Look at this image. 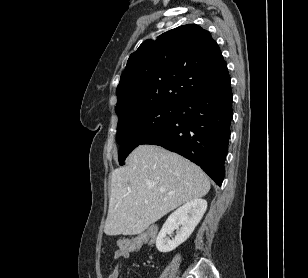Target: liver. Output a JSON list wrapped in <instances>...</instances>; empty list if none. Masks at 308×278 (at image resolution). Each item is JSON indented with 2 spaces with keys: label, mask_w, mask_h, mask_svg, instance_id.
<instances>
[{
  "label": "liver",
  "mask_w": 308,
  "mask_h": 278,
  "mask_svg": "<svg viewBox=\"0 0 308 278\" xmlns=\"http://www.w3.org/2000/svg\"><path fill=\"white\" fill-rule=\"evenodd\" d=\"M111 175L106 235H137L180 205L205 196L207 175L186 158L156 145H139Z\"/></svg>",
  "instance_id": "6515ba94"
}]
</instances>
